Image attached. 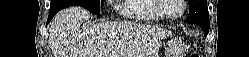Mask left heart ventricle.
<instances>
[{
	"instance_id": "obj_1",
	"label": "left heart ventricle",
	"mask_w": 249,
	"mask_h": 57,
	"mask_svg": "<svg viewBox=\"0 0 249 57\" xmlns=\"http://www.w3.org/2000/svg\"><path fill=\"white\" fill-rule=\"evenodd\" d=\"M168 7L166 9V13L170 16L177 15L181 10V5L179 0H167Z\"/></svg>"
}]
</instances>
